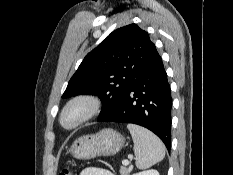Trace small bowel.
I'll return each mask as SVG.
<instances>
[{
  "mask_svg": "<svg viewBox=\"0 0 233 175\" xmlns=\"http://www.w3.org/2000/svg\"><path fill=\"white\" fill-rule=\"evenodd\" d=\"M80 175H115V174L106 169L88 167L83 169Z\"/></svg>",
  "mask_w": 233,
  "mask_h": 175,
  "instance_id": "small-bowel-1",
  "label": "small bowel"
}]
</instances>
